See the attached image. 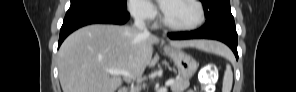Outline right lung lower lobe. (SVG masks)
Wrapping results in <instances>:
<instances>
[{
    "label": "right lung lower lobe",
    "mask_w": 296,
    "mask_h": 92,
    "mask_svg": "<svg viewBox=\"0 0 296 92\" xmlns=\"http://www.w3.org/2000/svg\"><path fill=\"white\" fill-rule=\"evenodd\" d=\"M129 17L127 8L119 10L97 2L73 3L63 21L58 47L70 33L82 26L95 23L122 25Z\"/></svg>",
    "instance_id": "right-lung-lower-lobe-1"
}]
</instances>
